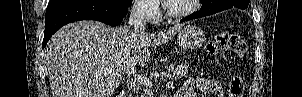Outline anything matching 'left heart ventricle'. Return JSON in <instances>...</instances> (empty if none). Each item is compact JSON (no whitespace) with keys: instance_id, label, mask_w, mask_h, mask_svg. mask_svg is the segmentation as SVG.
<instances>
[{"instance_id":"left-heart-ventricle-1","label":"left heart ventricle","mask_w":302,"mask_h":97,"mask_svg":"<svg viewBox=\"0 0 302 97\" xmlns=\"http://www.w3.org/2000/svg\"><path fill=\"white\" fill-rule=\"evenodd\" d=\"M168 2L175 12L182 11L192 4L191 0H170Z\"/></svg>"}]
</instances>
